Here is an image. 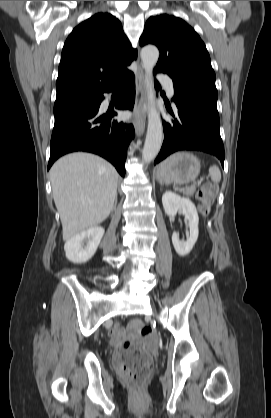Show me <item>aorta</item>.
Returning a JSON list of instances; mask_svg holds the SVG:
<instances>
[{"label": "aorta", "mask_w": 271, "mask_h": 418, "mask_svg": "<svg viewBox=\"0 0 271 418\" xmlns=\"http://www.w3.org/2000/svg\"><path fill=\"white\" fill-rule=\"evenodd\" d=\"M159 51L155 46L148 45L141 50L142 66L145 70V84L149 102L147 134L142 152V159L150 163L158 155L163 141L162 122L155 106V93L152 72L158 61Z\"/></svg>", "instance_id": "762f6f07"}]
</instances>
